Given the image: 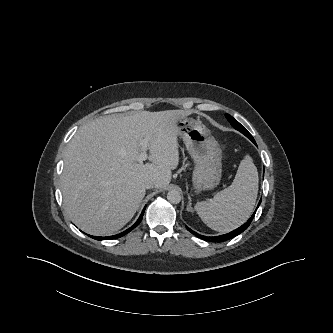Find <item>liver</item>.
Returning a JSON list of instances; mask_svg holds the SVG:
<instances>
[{
    "label": "liver",
    "mask_w": 333,
    "mask_h": 333,
    "mask_svg": "<svg viewBox=\"0 0 333 333\" xmlns=\"http://www.w3.org/2000/svg\"><path fill=\"white\" fill-rule=\"evenodd\" d=\"M183 110L141 111L97 118L69 142L61 178L64 207L72 221L92 235H111L127 224L145 196V183L166 187L179 164V119ZM149 160L138 161L141 141Z\"/></svg>",
    "instance_id": "6515ba94"
}]
</instances>
